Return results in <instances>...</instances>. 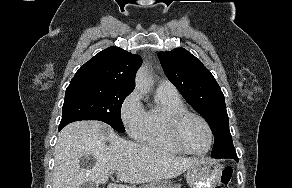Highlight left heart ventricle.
Listing matches in <instances>:
<instances>
[{
  "label": "left heart ventricle",
  "mask_w": 292,
  "mask_h": 188,
  "mask_svg": "<svg viewBox=\"0 0 292 188\" xmlns=\"http://www.w3.org/2000/svg\"><path fill=\"white\" fill-rule=\"evenodd\" d=\"M181 138L184 144L193 151H204L209 137L204 124L197 118L190 117L181 126Z\"/></svg>",
  "instance_id": "b2bd125f"
}]
</instances>
